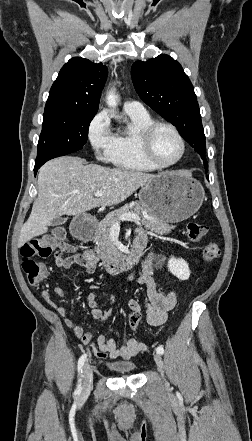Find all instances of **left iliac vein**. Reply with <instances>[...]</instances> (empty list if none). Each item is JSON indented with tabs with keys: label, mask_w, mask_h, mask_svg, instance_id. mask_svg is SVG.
Returning <instances> with one entry per match:
<instances>
[{
	"label": "left iliac vein",
	"mask_w": 252,
	"mask_h": 441,
	"mask_svg": "<svg viewBox=\"0 0 252 441\" xmlns=\"http://www.w3.org/2000/svg\"><path fill=\"white\" fill-rule=\"evenodd\" d=\"M154 360H155V363H156V365H157V369H158V371L161 373V375L163 376V369H164V363H163V359H162V357H161V355L160 354H155L154 355Z\"/></svg>",
	"instance_id": "4c4485c4"
}]
</instances>
